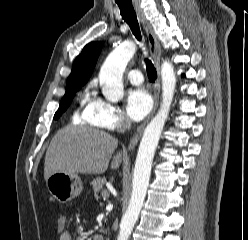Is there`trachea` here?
<instances>
[{
  "mask_svg": "<svg viewBox=\"0 0 248 240\" xmlns=\"http://www.w3.org/2000/svg\"><path fill=\"white\" fill-rule=\"evenodd\" d=\"M116 2L119 6L122 18L129 25L132 33L137 38V40L141 41L142 36H141L136 12L133 8L132 2L131 1L120 2L119 0H116ZM145 62H146V70H147L148 78L151 82H154L157 78V71L151 60L146 59Z\"/></svg>",
  "mask_w": 248,
  "mask_h": 240,
  "instance_id": "3493384b",
  "label": "trachea"
}]
</instances>
